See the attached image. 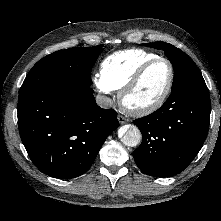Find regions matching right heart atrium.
<instances>
[{
	"label": "right heart atrium",
	"instance_id": "1",
	"mask_svg": "<svg viewBox=\"0 0 221 221\" xmlns=\"http://www.w3.org/2000/svg\"><path fill=\"white\" fill-rule=\"evenodd\" d=\"M92 82L96 89L101 93L109 94L112 91V89L106 84L100 74L93 75Z\"/></svg>",
	"mask_w": 221,
	"mask_h": 221
}]
</instances>
